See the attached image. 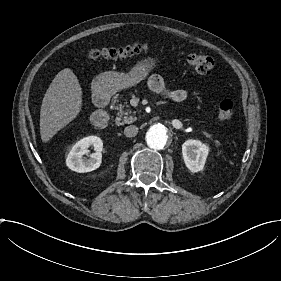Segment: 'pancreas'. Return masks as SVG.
Returning a JSON list of instances; mask_svg holds the SVG:
<instances>
[{
	"label": "pancreas",
	"mask_w": 281,
	"mask_h": 281,
	"mask_svg": "<svg viewBox=\"0 0 281 281\" xmlns=\"http://www.w3.org/2000/svg\"><path fill=\"white\" fill-rule=\"evenodd\" d=\"M113 102H119V100L114 97ZM125 105L123 103H119V107L114 106V109L117 110L118 117L115 118L116 124H129L138 119V117L135 116V113L132 109H124Z\"/></svg>",
	"instance_id": "pancreas-1"
}]
</instances>
